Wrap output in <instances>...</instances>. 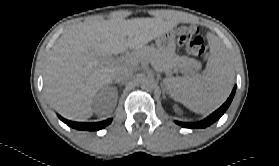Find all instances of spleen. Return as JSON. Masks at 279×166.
I'll return each mask as SVG.
<instances>
[{
  "label": "spleen",
  "mask_w": 279,
  "mask_h": 166,
  "mask_svg": "<svg viewBox=\"0 0 279 166\" xmlns=\"http://www.w3.org/2000/svg\"><path fill=\"white\" fill-rule=\"evenodd\" d=\"M209 43L211 55L202 74L163 80L171 97L196 113L220 106L229 96L233 83L227 50L215 36L209 38Z\"/></svg>",
  "instance_id": "3e777b00"
}]
</instances>
